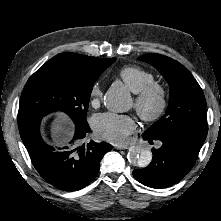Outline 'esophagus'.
<instances>
[{
    "instance_id": "esophagus-1",
    "label": "esophagus",
    "mask_w": 221,
    "mask_h": 221,
    "mask_svg": "<svg viewBox=\"0 0 221 221\" xmlns=\"http://www.w3.org/2000/svg\"><path fill=\"white\" fill-rule=\"evenodd\" d=\"M115 148L119 150H125L129 148V145H116Z\"/></svg>"
}]
</instances>
